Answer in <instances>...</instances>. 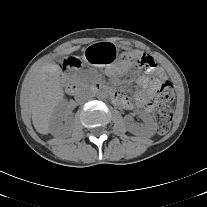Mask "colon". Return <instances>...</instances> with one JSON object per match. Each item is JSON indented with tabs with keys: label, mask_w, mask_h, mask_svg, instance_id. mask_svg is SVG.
I'll return each mask as SVG.
<instances>
[{
	"label": "colon",
	"mask_w": 207,
	"mask_h": 207,
	"mask_svg": "<svg viewBox=\"0 0 207 207\" xmlns=\"http://www.w3.org/2000/svg\"><path fill=\"white\" fill-rule=\"evenodd\" d=\"M135 59L136 64L140 68H143V70L148 74L155 73L159 68V63L155 58L148 57L143 53H137ZM173 98V84L168 80L163 81L157 92V105L154 113L159 134H165L170 129L173 120V113L165 103L172 101Z\"/></svg>",
	"instance_id": "1"
}]
</instances>
